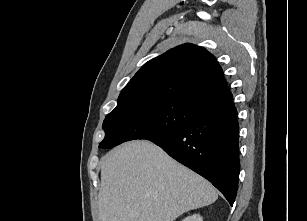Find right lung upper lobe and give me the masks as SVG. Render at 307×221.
Wrapping results in <instances>:
<instances>
[{
    "label": "right lung upper lobe",
    "mask_w": 307,
    "mask_h": 221,
    "mask_svg": "<svg viewBox=\"0 0 307 221\" xmlns=\"http://www.w3.org/2000/svg\"><path fill=\"white\" fill-rule=\"evenodd\" d=\"M140 98L183 100L208 108L233 97L215 57L202 47L184 44L144 64L118 102Z\"/></svg>",
    "instance_id": "1"
}]
</instances>
